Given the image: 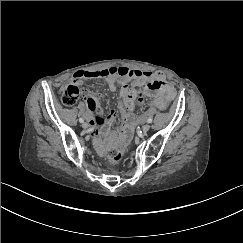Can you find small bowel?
Here are the masks:
<instances>
[{"label":"small bowel","mask_w":243,"mask_h":243,"mask_svg":"<svg viewBox=\"0 0 243 243\" xmlns=\"http://www.w3.org/2000/svg\"><path fill=\"white\" fill-rule=\"evenodd\" d=\"M103 78L109 82L112 89L117 87V79L125 78L137 80L143 89L138 93L137 103L143 100V96L150 98V106L159 110H165L169 102L175 96V89L166 82L165 76L160 71H141L132 70L126 67H111L96 71H77L71 82L73 84H82L87 79ZM85 99L91 111V129L94 136H98L101 126L112 122L117 113L112 110L107 116H103V111L99 104L98 96L94 93L85 92Z\"/></svg>","instance_id":"obj_1"}]
</instances>
